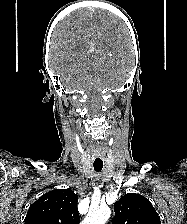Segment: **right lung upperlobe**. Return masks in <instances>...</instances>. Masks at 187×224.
<instances>
[{"label":"right lung upper lobe","mask_w":187,"mask_h":224,"mask_svg":"<svg viewBox=\"0 0 187 224\" xmlns=\"http://www.w3.org/2000/svg\"><path fill=\"white\" fill-rule=\"evenodd\" d=\"M77 194L71 189H55L30 205L25 224H79Z\"/></svg>","instance_id":"1"}]
</instances>
